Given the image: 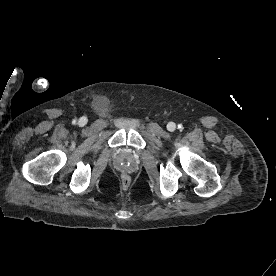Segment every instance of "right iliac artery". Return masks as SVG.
Instances as JSON below:
<instances>
[{
  "instance_id": "obj_1",
  "label": "right iliac artery",
  "mask_w": 276,
  "mask_h": 276,
  "mask_svg": "<svg viewBox=\"0 0 276 276\" xmlns=\"http://www.w3.org/2000/svg\"><path fill=\"white\" fill-rule=\"evenodd\" d=\"M76 122H77V121L74 119V120L72 121V124H76Z\"/></svg>"
}]
</instances>
